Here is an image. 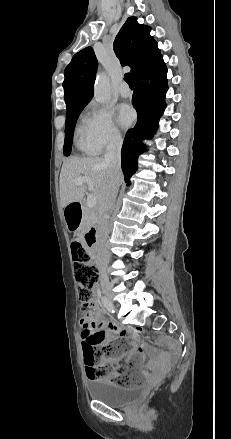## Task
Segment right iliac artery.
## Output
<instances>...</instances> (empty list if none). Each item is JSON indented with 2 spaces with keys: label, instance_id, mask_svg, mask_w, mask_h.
Instances as JSON below:
<instances>
[{
  "label": "right iliac artery",
  "instance_id": "obj_1",
  "mask_svg": "<svg viewBox=\"0 0 231 439\" xmlns=\"http://www.w3.org/2000/svg\"><path fill=\"white\" fill-rule=\"evenodd\" d=\"M102 303L108 311L114 312L111 302L106 297H102Z\"/></svg>",
  "mask_w": 231,
  "mask_h": 439
}]
</instances>
